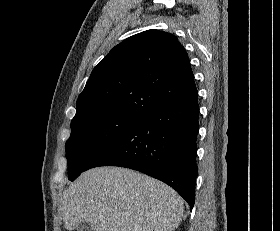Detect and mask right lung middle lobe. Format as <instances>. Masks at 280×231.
Listing matches in <instances>:
<instances>
[{
  "instance_id": "obj_1",
  "label": "right lung middle lobe",
  "mask_w": 280,
  "mask_h": 231,
  "mask_svg": "<svg viewBox=\"0 0 280 231\" xmlns=\"http://www.w3.org/2000/svg\"><path fill=\"white\" fill-rule=\"evenodd\" d=\"M139 121L140 118L128 116L72 120L71 135L65 145L69 180H75L91 162Z\"/></svg>"
}]
</instances>
